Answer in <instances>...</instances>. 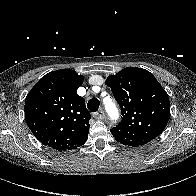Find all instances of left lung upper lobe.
Masks as SVG:
<instances>
[{
  "label": "left lung upper lobe",
  "mask_w": 196,
  "mask_h": 196,
  "mask_svg": "<svg viewBox=\"0 0 196 196\" xmlns=\"http://www.w3.org/2000/svg\"><path fill=\"white\" fill-rule=\"evenodd\" d=\"M106 84L123 116L118 126L110 130L118 142L142 146L162 133L170 117L169 98L149 71L127 67L110 75Z\"/></svg>",
  "instance_id": "5c2ea615"
}]
</instances>
